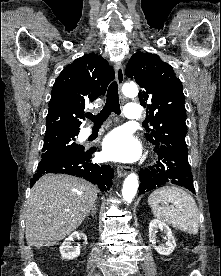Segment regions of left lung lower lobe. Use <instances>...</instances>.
I'll return each instance as SVG.
<instances>
[{"label":"left lung lower lobe","instance_id":"1","mask_svg":"<svg viewBox=\"0 0 221 276\" xmlns=\"http://www.w3.org/2000/svg\"><path fill=\"white\" fill-rule=\"evenodd\" d=\"M159 156L155 165L141 169L139 172V192L144 194L159 186L173 183L183 186L193 193V176L188 163V151L182 149H171L166 146L155 147Z\"/></svg>","mask_w":221,"mask_h":276}]
</instances>
